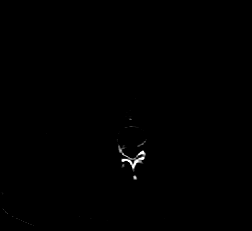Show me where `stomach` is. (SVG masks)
<instances>
[{
  "label": "stomach",
  "instance_id": "1",
  "mask_svg": "<svg viewBox=\"0 0 252 231\" xmlns=\"http://www.w3.org/2000/svg\"><path fill=\"white\" fill-rule=\"evenodd\" d=\"M140 76L132 82V87L141 90L146 83L176 86L179 64L170 55L159 52L144 53L138 62Z\"/></svg>",
  "mask_w": 252,
  "mask_h": 231
}]
</instances>
